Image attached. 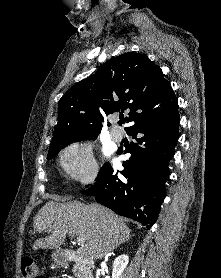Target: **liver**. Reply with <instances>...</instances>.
<instances>
[{
    "instance_id": "obj_1",
    "label": "liver",
    "mask_w": 221,
    "mask_h": 278,
    "mask_svg": "<svg viewBox=\"0 0 221 278\" xmlns=\"http://www.w3.org/2000/svg\"><path fill=\"white\" fill-rule=\"evenodd\" d=\"M33 227L36 232L47 229L51 233L35 241L34 250L57 249L67 234L77 235L84 239L77 255L89 260L102 259L131 237L130 229L111 210L78 201L47 202L35 216Z\"/></svg>"
}]
</instances>
